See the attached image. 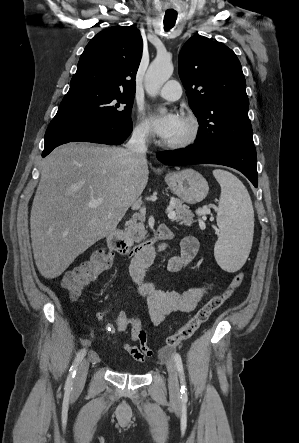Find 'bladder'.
<instances>
[{
	"label": "bladder",
	"instance_id": "31cf9c89",
	"mask_svg": "<svg viewBox=\"0 0 299 443\" xmlns=\"http://www.w3.org/2000/svg\"><path fill=\"white\" fill-rule=\"evenodd\" d=\"M116 368L117 369H121L122 367H121V365L119 363H117ZM118 372H121V371H118ZM139 372L140 371H134L133 374H139Z\"/></svg>",
	"mask_w": 299,
	"mask_h": 443
}]
</instances>
